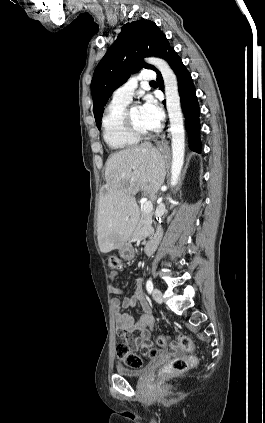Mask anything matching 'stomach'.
I'll return each mask as SVG.
<instances>
[{
    "instance_id": "0dacf381",
    "label": "stomach",
    "mask_w": 265,
    "mask_h": 423,
    "mask_svg": "<svg viewBox=\"0 0 265 423\" xmlns=\"http://www.w3.org/2000/svg\"><path fill=\"white\" fill-rule=\"evenodd\" d=\"M119 254L125 260H132L134 258V249L129 239L121 245L119 248Z\"/></svg>"
}]
</instances>
